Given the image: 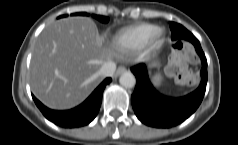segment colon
<instances>
[{
    "mask_svg": "<svg viewBox=\"0 0 238 145\" xmlns=\"http://www.w3.org/2000/svg\"><path fill=\"white\" fill-rule=\"evenodd\" d=\"M196 55L190 44L177 42L167 65L168 74L180 83H191L194 75L188 70L187 62H195Z\"/></svg>",
    "mask_w": 238,
    "mask_h": 145,
    "instance_id": "colon-1",
    "label": "colon"
}]
</instances>
